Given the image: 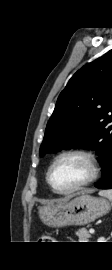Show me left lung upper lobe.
Wrapping results in <instances>:
<instances>
[{
	"instance_id": "left-lung-upper-lobe-1",
	"label": "left lung upper lobe",
	"mask_w": 112,
	"mask_h": 270,
	"mask_svg": "<svg viewBox=\"0 0 112 270\" xmlns=\"http://www.w3.org/2000/svg\"><path fill=\"white\" fill-rule=\"evenodd\" d=\"M81 147L95 150L101 167L112 153V49L78 70L60 93L40 156Z\"/></svg>"
}]
</instances>
